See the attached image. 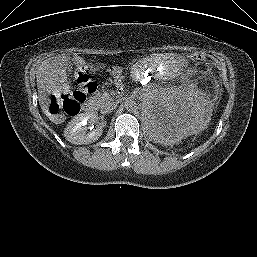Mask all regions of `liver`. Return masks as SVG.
<instances>
[{"mask_svg":"<svg viewBox=\"0 0 257 257\" xmlns=\"http://www.w3.org/2000/svg\"><path fill=\"white\" fill-rule=\"evenodd\" d=\"M58 77L59 73L54 69L50 62H43L39 66L36 76L40 106L44 114L55 124L63 122L64 116L49 112L46 102V96L58 92Z\"/></svg>","mask_w":257,"mask_h":257,"instance_id":"1","label":"liver"}]
</instances>
